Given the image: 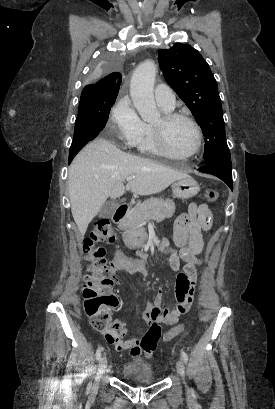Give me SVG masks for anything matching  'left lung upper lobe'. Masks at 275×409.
Here are the masks:
<instances>
[{"label": "left lung upper lobe", "mask_w": 275, "mask_h": 409, "mask_svg": "<svg viewBox=\"0 0 275 409\" xmlns=\"http://www.w3.org/2000/svg\"><path fill=\"white\" fill-rule=\"evenodd\" d=\"M158 61L165 80L191 110L203 130L206 163L217 160L231 163L221 99L207 62L197 50L181 43L160 50Z\"/></svg>", "instance_id": "left-lung-upper-lobe-1"}]
</instances>
